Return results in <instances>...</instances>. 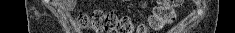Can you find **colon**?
Instances as JSON below:
<instances>
[{"label":"colon","instance_id":"obj_1","mask_svg":"<svg viewBox=\"0 0 235 33\" xmlns=\"http://www.w3.org/2000/svg\"><path fill=\"white\" fill-rule=\"evenodd\" d=\"M180 0H162L154 8L148 19V24H141L134 28L128 17H121L113 12L94 11L91 14H81L78 22L83 29L97 33H148L160 31L175 18L174 9L179 6Z\"/></svg>","mask_w":235,"mask_h":33}]
</instances>
